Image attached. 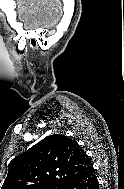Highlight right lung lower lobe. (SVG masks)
Here are the masks:
<instances>
[{
    "label": "right lung lower lobe",
    "instance_id": "1",
    "mask_svg": "<svg viewBox=\"0 0 124 189\" xmlns=\"http://www.w3.org/2000/svg\"><path fill=\"white\" fill-rule=\"evenodd\" d=\"M63 189H99L97 176L92 164L80 176L65 184Z\"/></svg>",
    "mask_w": 124,
    "mask_h": 189
}]
</instances>
